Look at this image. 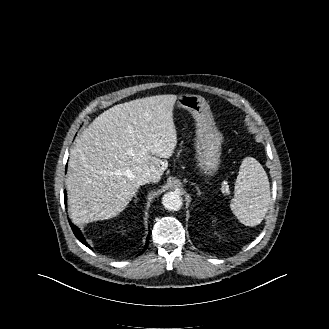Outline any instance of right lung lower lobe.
<instances>
[{
  "label": "right lung lower lobe",
  "mask_w": 329,
  "mask_h": 329,
  "mask_svg": "<svg viewBox=\"0 0 329 329\" xmlns=\"http://www.w3.org/2000/svg\"><path fill=\"white\" fill-rule=\"evenodd\" d=\"M64 201H65V204H66V192H64ZM69 224H70V226H71V228H72V231H73V233L75 234L76 238H77L81 243H83V244L86 245L88 248H90V246H89V245L87 244V242L85 241V239H84V237H83L81 231L79 230V228H78L77 226L73 225L72 223H70V221H69ZM148 240H149V238H147V242H146L145 249H146L147 246H148ZM145 249H144L143 251H145Z\"/></svg>",
  "instance_id": "1"
}]
</instances>
